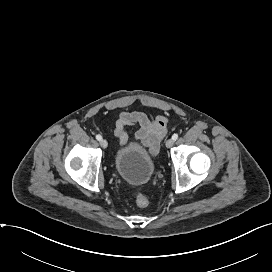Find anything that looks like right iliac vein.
<instances>
[{"label": "right iliac vein", "instance_id": "right-iliac-vein-1", "mask_svg": "<svg viewBox=\"0 0 272 272\" xmlns=\"http://www.w3.org/2000/svg\"><path fill=\"white\" fill-rule=\"evenodd\" d=\"M100 145H101L102 148L105 149V148H107L108 143H107V141L105 139H101L100 140Z\"/></svg>", "mask_w": 272, "mask_h": 272}]
</instances>
